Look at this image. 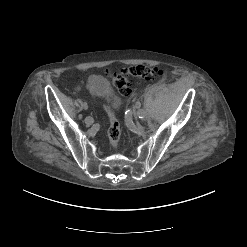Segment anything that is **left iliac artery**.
I'll return each instance as SVG.
<instances>
[{"label":"left iliac artery","instance_id":"left-iliac-artery-1","mask_svg":"<svg viewBox=\"0 0 247 247\" xmlns=\"http://www.w3.org/2000/svg\"><path fill=\"white\" fill-rule=\"evenodd\" d=\"M137 113L139 118H144L146 116V112L143 109H139Z\"/></svg>","mask_w":247,"mask_h":247}]
</instances>
